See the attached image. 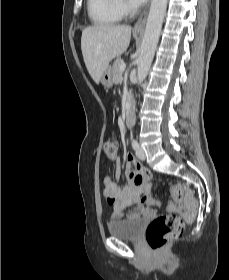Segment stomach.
I'll list each match as a JSON object with an SVG mask.
<instances>
[{"label": "stomach", "mask_w": 229, "mask_h": 280, "mask_svg": "<svg viewBox=\"0 0 229 280\" xmlns=\"http://www.w3.org/2000/svg\"><path fill=\"white\" fill-rule=\"evenodd\" d=\"M113 72H112V68L108 67L102 77H101V84L105 87V88H111L113 86Z\"/></svg>", "instance_id": "stomach-1"}]
</instances>
